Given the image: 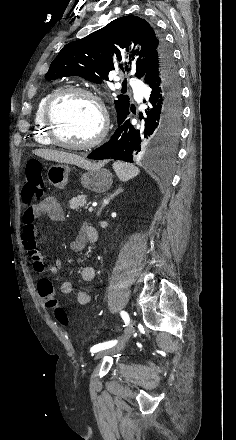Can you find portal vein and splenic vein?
Returning a JSON list of instances; mask_svg holds the SVG:
<instances>
[{"instance_id":"18ae733b","label":"portal vein and splenic vein","mask_w":236,"mask_h":440,"mask_svg":"<svg viewBox=\"0 0 236 440\" xmlns=\"http://www.w3.org/2000/svg\"><path fill=\"white\" fill-rule=\"evenodd\" d=\"M93 209H94L93 206H90V207L88 208V211H89V212H92Z\"/></svg>"}]
</instances>
